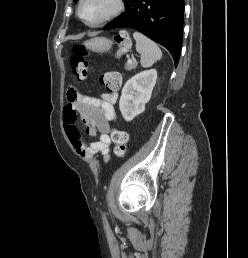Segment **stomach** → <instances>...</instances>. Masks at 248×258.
<instances>
[{"mask_svg": "<svg viewBox=\"0 0 248 258\" xmlns=\"http://www.w3.org/2000/svg\"><path fill=\"white\" fill-rule=\"evenodd\" d=\"M85 47L93 52H107L112 47V41L105 37H95L84 43Z\"/></svg>", "mask_w": 248, "mask_h": 258, "instance_id": "1", "label": "stomach"}]
</instances>
